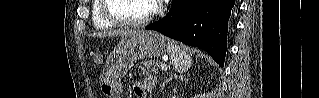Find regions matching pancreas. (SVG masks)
Instances as JSON below:
<instances>
[{
	"label": "pancreas",
	"instance_id": "1",
	"mask_svg": "<svg viewBox=\"0 0 319 98\" xmlns=\"http://www.w3.org/2000/svg\"><path fill=\"white\" fill-rule=\"evenodd\" d=\"M138 69L141 70L144 74H148L149 72L157 73L158 65L154 60H146L140 63Z\"/></svg>",
	"mask_w": 319,
	"mask_h": 98
}]
</instances>
